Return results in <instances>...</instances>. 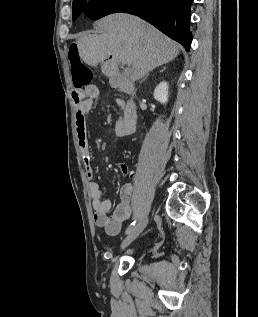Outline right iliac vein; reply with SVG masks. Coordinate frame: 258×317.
<instances>
[{"label": "right iliac vein", "instance_id": "1", "mask_svg": "<svg viewBox=\"0 0 258 317\" xmlns=\"http://www.w3.org/2000/svg\"><path fill=\"white\" fill-rule=\"evenodd\" d=\"M148 216H150V213H147V216H143L142 220H140L139 223H137L136 226L131 229L130 233L127 234L126 239L122 240L121 247L123 249H126V246H130L135 237H138L140 235V233L143 230V227L146 226ZM121 247L119 249L122 252L123 250Z\"/></svg>", "mask_w": 258, "mask_h": 317}]
</instances>
